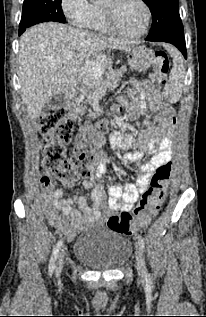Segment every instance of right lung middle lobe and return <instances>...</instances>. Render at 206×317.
I'll return each mask as SVG.
<instances>
[{
	"mask_svg": "<svg viewBox=\"0 0 206 317\" xmlns=\"http://www.w3.org/2000/svg\"><path fill=\"white\" fill-rule=\"evenodd\" d=\"M57 21L65 23L61 0H24L19 33L37 23Z\"/></svg>",
	"mask_w": 206,
	"mask_h": 317,
	"instance_id": "obj_1",
	"label": "right lung middle lobe"
}]
</instances>
